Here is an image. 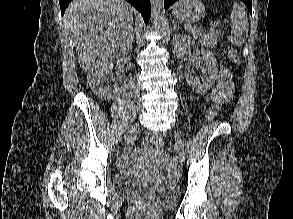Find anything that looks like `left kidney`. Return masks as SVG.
Returning a JSON list of instances; mask_svg holds the SVG:
<instances>
[{"label":"left kidney","instance_id":"obj_1","mask_svg":"<svg viewBox=\"0 0 293 219\" xmlns=\"http://www.w3.org/2000/svg\"><path fill=\"white\" fill-rule=\"evenodd\" d=\"M195 45V41L187 35H175L173 39V52L178 58H183L185 54ZM202 60L206 65V77L200 81L188 67H185V77L192 89L200 94L207 93L215 83L218 73V63L216 57L206 49H201Z\"/></svg>","mask_w":293,"mask_h":219}]
</instances>
